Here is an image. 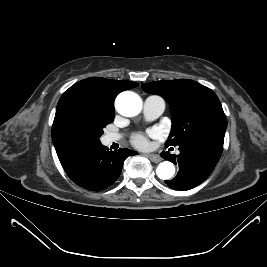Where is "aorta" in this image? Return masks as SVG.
<instances>
[{
  "label": "aorta",
  "instance_id": "obj_1",
  "mask_svg": "<svg viewBox=\"0 0 267 267\" xmlns=\"http://www.w3.org/2000/svg\"><path fill=\"white\" fill-rule=\"evenodd\" d=\"M115 106L121 115L133 117L141 112L142 100L136 93L126 91L117 96ZM156 174L162 180H169L175 174V167L173 163L164 161L157 166Z\"/></svg>",
  "mask_w": 267,
  "mask_h": 267
}]
</instances>
